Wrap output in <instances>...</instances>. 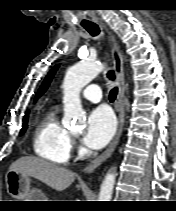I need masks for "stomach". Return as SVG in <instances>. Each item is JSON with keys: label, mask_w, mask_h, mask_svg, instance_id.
<instances>
[{"label": "stomach", "mask_w": 176, "mask_h": 211, "mask_svg": "<svg viewBox=\"0 0 176 211\" xmlns=\"http://www.w3.org/2000/svg\"><path fill=\"white\" fill-rule=\"evenodd\" d=\"M7 192L19 201H46L44 194L31 187V179L29 176L22 175L15 171H8L6 174Z\"/></svg>", "instance_id": "obj_1"}]
</instances>
